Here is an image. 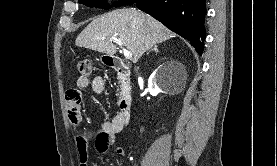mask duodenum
I'll return each mask as SVG.
<instances>
[{
    "mask_svg": "<svg viewBox=\"0 0 277 166\" xmlns=\"http://www.w3.org/2000/svg\"><path fill=\"white\" fill-rule=\"evenodd\" d=\"M110 67L115 71L118 78L123 82L127 83L129 79V68L128 66L119 58H112L109 61ZM119 115L122 122L126 125L130 122L131 111H132V99L127 90H125L121 96L119 102Z\"/></svg>",
    "mask_w": 277,
    "mask_h": 166,
    "instance_id": "410a0bca",
    "label": "duodenum"
}]
</instances>
